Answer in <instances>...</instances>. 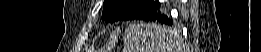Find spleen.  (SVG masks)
Instances as JSON below:
<instances>
[{
	"label": "spleen",
	"instance_id": "spleen-1",
	"mask_svg": "<svg viewBox=\"0 0 261 52\" xmlns=\"http://www.w3.org/2000/svg\"><path fill=\"white\" fill-rule=\"evenodd\" d=\"M169 30L157 24H131L125 31L134 52H172L174 38Z\"/></svg>",
	"mask_w": 261,
	"mask_h": 52
}]
</instances>
